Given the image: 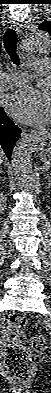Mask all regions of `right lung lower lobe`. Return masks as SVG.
<instances>
[{"mask_svg":"<svg viewBox=\"0 0 51 393\" xmlns=\"http://www.w3.org/2000/svg\"><path fill=\"white\" fill-rule=\"evenodd\" d=\"M21 130L12 122L11 119L4 113L3 108H0V151L5 152L9 160L13 147L20 137Z\"/></svg>","mask_w":51,"mask_h":393,"instance_id":"98d812e1","label":"right lung lower lobe"}]
</instances>
